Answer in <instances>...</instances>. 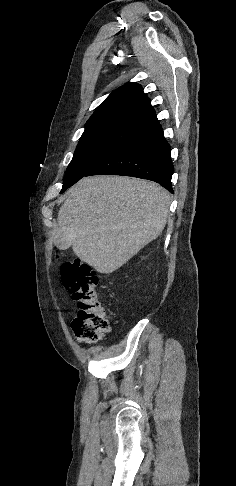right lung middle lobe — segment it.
Returning <instances> with one entry per match:
<instances>
[{
  "label": "right lung middle lobe",
  "mask_w": 236,
  "mask_h": 486,
  "mask_svg": "<svg viewBox=\"0 0 236 486\" xmlns=\"http://www.w3.org/2000/svg\"><path fill=\"white\" fill-rule=\"evenodd\" d=\"M140 125L123 124L84 132L67 168L62 190L86 176L95 166L126 144L139 131Z\"/></svg>",
  "instance_id": "obj_1"
}]
</instances>
